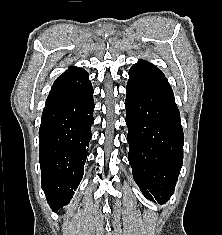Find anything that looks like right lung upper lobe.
Returning <instances> with one entry per match:
<instances>
[{
	"instance_id": "right-lung-upper-lobe-1",
	"label": "right lung upper lobe",
	"mask_w": 222,
	"mask_h": 235,
	"mask_svg": "<svg viewBox=\"0 0 222 235\" xmlns=\"http://www.w3.org/2000/svg\"><path fill=\"white\" fill-rule=\"evenodd\" d=\"M80 70H82V68L73 66V67H70V68H69L66 72H64L63 74L68 73V72L80 71Z\"/></svg>"
}]
</instances>
